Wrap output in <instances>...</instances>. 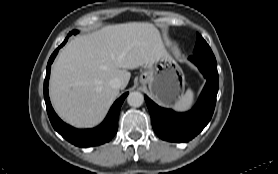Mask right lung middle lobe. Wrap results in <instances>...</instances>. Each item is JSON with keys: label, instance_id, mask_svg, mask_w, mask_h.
I'll return each instance as SVG.
<instances>
[{"label": "right lung middle lobe", "instance_id": "obj_1", "mask_svg": "<svg viewBox=\"0 0 278 174\" xmlns=\"http://www.w3.org/2000/svg\"><path fill=\"white\" fill-rule=\"evenodd\" d=\"M78 33V31H72V32H70L69 34H68V36H70V35H72V34H77Z\"/></svg>", "mask_w": 278, "mask_h": 174}]
</instances>
